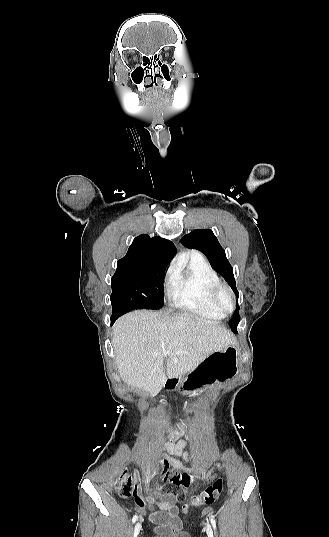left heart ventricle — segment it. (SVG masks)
<instances>
[{"instance_id":"b2bd125f","label":"left heart ventricle","mask_w":329,"mask_h":537,"mask_svg":"<svg viewBox=\"0 0 329 537\" xmlns=\"http://www.w3.org/2000/svg\"><path fill=\"white\" fill-rule=\"evenodd\" d=\"M220 300H221V304L223 305L224 308H226L228 310L231 308L232 300H231L230 296L227 293H222Z\"/></svg>"}]
</instances>
